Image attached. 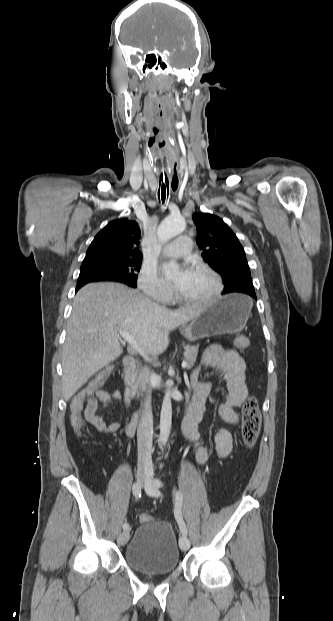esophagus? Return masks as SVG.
<instances>
[{"label": "esophagus", "instance_id": "obj_1", "mask_svg": "<svg viewBox=\"0 0 333 621\" xmlns=\"http://www.w3.org/2000/svg\"><path fill=\"white\" fill-rule=\"evenodd\" d=\"M178 183H179V172L178 169L172 171L171 175H170V189L172 193H176L178 190Z\"/></svg>", "mask_w": 333, "mask_h": 621}]
</instances>
